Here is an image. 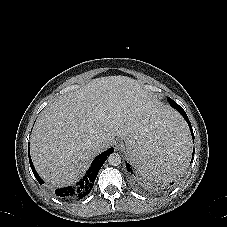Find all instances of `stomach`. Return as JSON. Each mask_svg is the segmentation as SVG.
Returning a JSON list of instances; mask_svg holds the SVG:
<instances>
[{
    "label": "stomach",
    "mask_w": 227,
    "mask_h": 227,
    "mask_svg": "<svg viewBox=\"0 0 227 227\" xmlns=\"http://www.w3.org/2000/svg\"><path fill=\"white\" fill-rule=\"evenodd\" d=\"M127 153V152H126ZM127 156H128V159L130 160V161H132V159L129 157V155L127 154Z\"/></svg>",
    "instance_id": "stomach-1"
}]
</instances>
